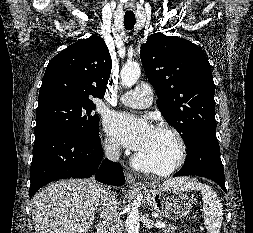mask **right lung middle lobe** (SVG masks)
<instances>
[{"instance_id": "dd1d6c3e", "label": "right lung middle lobe", "mask_w": 253, "mask_h": 233, "mask_svg": "<svg viewBox=\"0 0 253 233\" xmlns=\"http://www.w3.org/2000/svg\"><path fill=\"white\" fill-rule=\"evenodd\" d=\"M90 99L51 98L38 103L35 135L43 131H64L84 139L99 135V116L93 114Z\"/></svg>"}]
</instances>
